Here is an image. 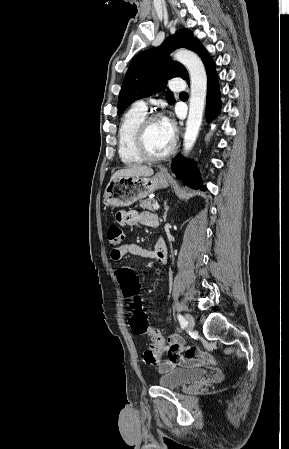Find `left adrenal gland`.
<instances>
[{
    "mask_svg": "<svg viewBox=\"0 0 289 449\" xmlns=\"http://www.w3.org/2000/svg\"><path fill=\"white\" fill-rule=\"evenodd\" d=\"M164 209H165V212H164L163 218H164V221H166L167 212L169 210V206H167V202L166 201L164 202Z\"/></svg>",
    "mask_w": 289,
    "mask_h": 449,
    "instance_id": "obj_1",
    "label": "left adrenal gland"
}]
</instances>
